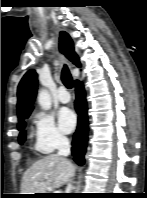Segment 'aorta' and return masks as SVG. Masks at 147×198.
I'll list each match as a JSON object with an SVG mask.
<instances>
[{"mask_svg": "<svg viewBox=\"0 0 147 198\" xmlns=\"http://www.w3.org/2000/svg\"><path fill=\"white\" fill-rule=\"evenodd\" d=\"M38 103L44 110H48L51 108V97L47 90L42 89L38 93Z\"/></svg>", "mask_w": 147, "mask_h": 198, "instance_id": "obj_1", "label": "aorta"}]
</instances>
